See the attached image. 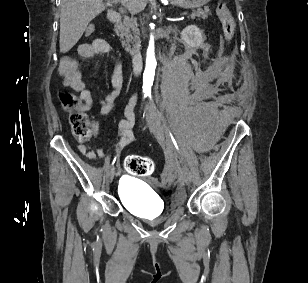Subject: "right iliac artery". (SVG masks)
Segmentation results:
<instances>
[{"mask_svg":"<svg viewBox=\"0 0 308 283\" xmlns=\"http://www.w3.org/2000/svg\"><path fill=\"white\" fill-rule=\"evenodd\" d=\"M146 96V94H145ZM117 157L114 158L113 162H112V166L114 165L115 161H116Z\"/></svg>","mask_w":308,"mask_h":283,"instance_id":"82829eb1","label":"right iliac artery"}]
</instances>
